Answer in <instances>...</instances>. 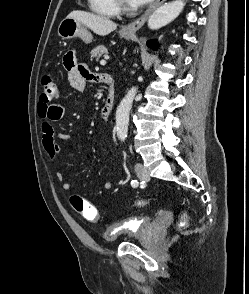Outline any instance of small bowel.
I'll return each mask as SVG.
<instances>
[{
  "label": "small bowel",
  "mask_w": 249,
  "mask_h": 294,
  "mask_svg": "<svg viewBox=\"0 0 249 294\" xmlns=\"http://www.w3.org/2000/svg\"><path fill=\"white\" fill-rule=\"evenodd\" d=\"M64 68L67 73V79L70 86L77 91H83L87 82H99V74L90 71L85 63H79L76 60V51L70 50L64 57ZM38 113L41 122L42 145L47 157L51 161H55L60 152L61 147L57 143V139H69L70 135L57 133L55 124L61 121L65 115V108L60 104H48L41 102L38 106ZM54 176L60 182L61 189L68 191L71 183L64 179V174L60 170L54 171ZM114 183L107 180L103 184V188L107 191L113 189Z\"/></svg>",
  "instance_id": "small-bowel-1"
}]
</instances>
